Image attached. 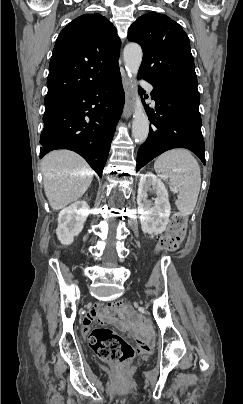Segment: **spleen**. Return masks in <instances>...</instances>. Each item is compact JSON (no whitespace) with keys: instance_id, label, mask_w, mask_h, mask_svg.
Instances as JSON below:
<instances>
[{"instance_id":"spleen-1","label":"spleen","mask_w":243,"mask_h":404,"mask_svg":"<svg viewBox=\"0 0 243 404\" xmlns=\"http://www.w3.org/2000/svg\"><path fill=\"white\" fill-rule=\"evenodd\" d=\"M154 170L162 180L171 178L170 186L179 192L175 206L182 216H190L197 204L201 186L200 166L194 156L184 148L169 150L157 158Z\"/></svg>"}]
</instances>
